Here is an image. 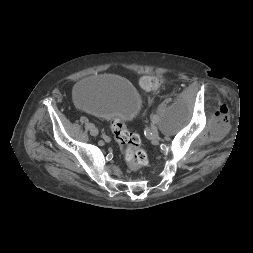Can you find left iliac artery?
I'll return each instance as SVG.
<instances>
[{
    "instance_id": "left-iliac-artery-1",
    "label": "left iliac artery",
    "mask_w": 253,
    "mask_h": 253,
    "mask_svg": "<svg viewBox=\"0 0 253 253\" xmlns=\"http://www.w3.org/2000/svg\"><path fill=\"white\" fill-rule=\"evenodd\" d=\"M159 121V117L157 115H152V122L157 123Z\"/></svg>"
}]
</instances>
